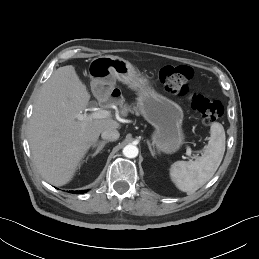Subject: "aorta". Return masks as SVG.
<instances>
[{"label": "aorta", "mask_w": 259, "mask_h": 259, "mask_svg": "<svg viewBox=\"0 0 259 259\" xmlns=\"http://www.w3.org/2000/svg\"><path fill=\"white\" fill-rule=\"evenodd\" d=\"M123 155L127 158H135L138 155V148L135 145H126L123 148Z\"/></svg>", "instance_id": "762f6f07"}]
</instances>
